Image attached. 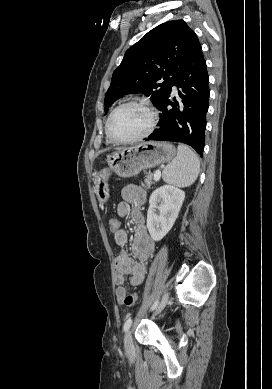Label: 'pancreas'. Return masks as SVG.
Instances as JSON below:
<instances>
[{"mask_svg": "<svg viewBox=\"0 0 272 389\" xmlns=\"http://www.w3.org/2000/svg\"><path fill=\"white\" fill-rule=\"evenodd\" d=\"M152 183H153V173L149 171L146 175L145 186L150 187Z\"/></svg>", "mask_w": 272, "mask_h": 389, "instance_id": "obj_1", "label": "pancreas"}]
</instances>
